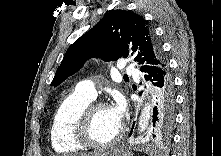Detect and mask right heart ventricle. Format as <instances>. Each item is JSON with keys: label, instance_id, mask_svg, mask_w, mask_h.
I'll return each instance as SVG.
<instances>
[{"label": "right heart ventricle", "instance_id": "obj_1", "mask_svg": "<svg viewBox=\"0 0 221 156\" xmlns=\"http://www.w3.org/2000/svg\"><path fill=\"white\" fill-rule=\"evenodd\" d=\"M92 99L78 90L66 96L57 107L50 128L52 148L60 154H70L82 149L74 138V125L83 108Z\"/></svg>", "mask_w": 221, "mask_h": 156}]
</instances>
